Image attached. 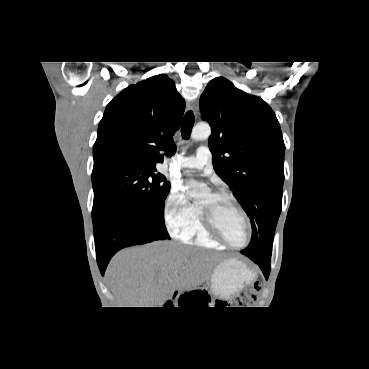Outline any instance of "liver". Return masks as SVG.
Returning <instances> with one entry per match:
<instances>
[{"mask_svg": "<svg viewBox=\"0 0 369 369\" xmlns=\"http://www.w3.org/2000/svg\"><path fill=\"white\" fill-rule=\"evenodd\" d=\"M220 259L215 253L157 241L118 252L107 277L117 304L124 305L120 307H162L176 290L202 283Z\"/></svg>", "mask_w": 369, "mask_h": 369, "instance_id": "1", "label": "liver"}]
</instances>
